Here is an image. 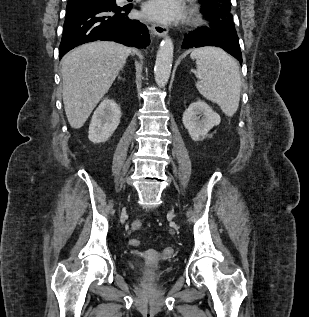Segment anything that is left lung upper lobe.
Instances as JSON below:
<instances>
[{
    "mask_svg": "<svg viewBox=\"0 0 309 317\" xmlns=\"http://www.w3.org/2000/svg\"><path fill=\"white\" fill-rule=\"evenodd\" d=\"M202 13L212 20L217 29L235 30L233 17L230 13V0H199Z\"/></svg>",
    "mask_w": 309,
    "mask_h": 317,
    "instance_id": "left-lung-upper-lobe-1",
    "label": "left lung upper lobe"
}]
</instances>
